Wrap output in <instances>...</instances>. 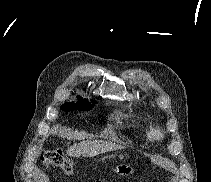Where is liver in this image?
Instances as JSON below:
<instances>
[{
	"instance_id": "liver-1",
	"label": "liver",
	"mask_w": 211,
	"mask_h": 182,
	"mask_svg": "<svg viewBox=\"0 0 211 182\" xmlns=\"http://www.w3.org/2000/svg\"><path fill=\"white\" fill-rule=\"evenodd\" d=\"M123 147L121 145L102 141V140H93V141H81L78 144H73L67 150V154L70 157H79L83 155L84 157H94L98 154L119 150Z\"/></svg>"
}]
</instances>
